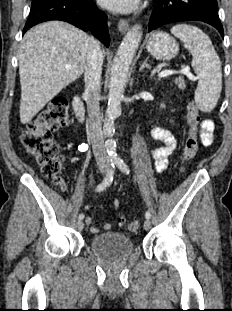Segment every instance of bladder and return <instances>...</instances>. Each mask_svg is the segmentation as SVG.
<instances>
[{
  "instance_id": "1",
  "label": "bladder",
  "mask_w": 232,
  "mask_h": 311,
  "mask_svg": "<svg viewBox=\"0 0 232 311\" xmlns=\"http://www.w3.org/2000/svg\"><path fill=\"white\" fill-rule=\"evenodd\" d=\"M94 253L108 262H115L129 256L134 250L132 239L119 232H104L90 241Z\"/></svg>"
}]
</instances>
